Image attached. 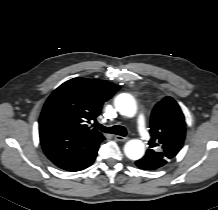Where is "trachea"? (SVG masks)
Returning a JSON list of instances; mask_svg holds the SVG:
<instances>
[{
    "instance_id": "1",
    "label": "trachea",
    "mask_w": 218,
    "mask_h": 210,
    "mask_svg": "<svg viewBox=\"0 0 218 210\" xmlns=\"http://www.w3.org/2000/svg\"><path fill=\"white\" fill-rule=\"evenodd\" d=\"M94 126L105 133L117 134L123 137L127 135V130L123 126L105 127L98 123H96Z\"/></svg>"
}]
</instances>
